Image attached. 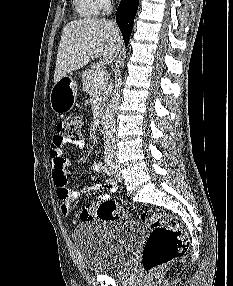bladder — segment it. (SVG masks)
<instances>
[{
    "instance_id": "bladder-1",
    "label": "bladder",
    "mask_w": 233,
    "mask_h": 286,
    "mask_svg": "<svg viewBox=\"0 0 233 286\" xmlns=\"http://www.w3.org/2000/svg\"><path fill=\"white\" fill-rule=\"evenodd\" d=\"M144 232L140 221L103 220L78 226L74 241L87 269L102 274L124 269Z\"/></svg>"
}]
</instances>
